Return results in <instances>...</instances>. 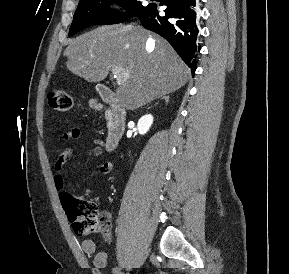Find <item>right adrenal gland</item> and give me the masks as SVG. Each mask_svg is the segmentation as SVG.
I'll return each instance as SVG.
<instances>
[{
    "instance_id": "right-adrenal-gland-1",
    "label": "right adrenal gland",
    "mask_w": 289,
    "mask_h": 274,
    "mask_svg": "<svg viewBox=\"0 0 289 274\" xmlns=\"http://www.w3.org/2000/svg\"><path fill=\"white\" fill-rule=\"evenodd\" d=\"M160 99H164L166 101V103H168L169 101V96H164V97H161Z\"/></svg>"
}]
</instances>
